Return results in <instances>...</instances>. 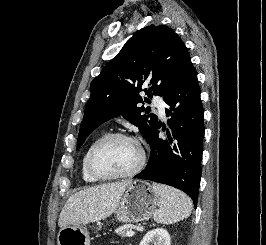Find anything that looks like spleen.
Returning <instances> with one entry per match:
<instances>
[{"label": "spleen", "instance_id": "3e777b00", "mask_svg": "<svg viewBox=\"0 0 266 245\" xmlns=\"http://www.w3.org/2000/svg\"><path fill=\"white\" fill-rule=\"evenodd\" d=\"M152 187L160 205L153 215L156 223L173 225L190 217L193 203L185 193L173 187H167V185H157V183H153Z\"/></svg>", "mask_w": 266, "mask_h": 245}]
</instances>
